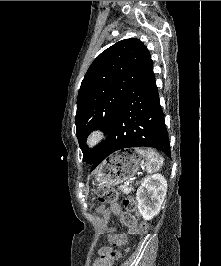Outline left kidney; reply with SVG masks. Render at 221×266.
Returning a JSON list of instances; mask_svg holds the SVG:
<instances>
[{"mask_svg": "<svg viewBox=\"0 0 221 266\" xmlns=\"http://www.w3.org/2000/svg\"><path fill=\"white\" fill-rule=\"evenodd\" d=\"M167 180L161 174L148 176L137 191L138 210L145 220L158 215L167 192Z\"/></svg>", "mask_w": 221, "mask_h": 266, "instance_id": "obj_1", "label": "left kidney"}]
</instances>
